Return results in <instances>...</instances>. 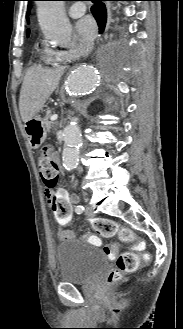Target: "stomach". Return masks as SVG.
Wrapping results in <instances>:
<instances>
[{"mask_svg":"<svg viewBox=\"0 0 183 329\" xmlns=\"http://www.w3.org/2000/svg\"><path fill=\"white\" fill-rule=\"evenodd\" d=\"M24 132L31 148H39L46 139L47 128L44 121L37 115L24 124Z\"/></svg>","mask_w":183,"mask_h":329,"instance_id":"stomach-1","label":"stomach"}]
</instances>
